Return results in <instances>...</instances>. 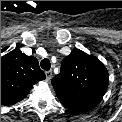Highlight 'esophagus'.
Wrapping results in <instances>:
<instances>
[{"instance_id": "esophagus-1", "label": "esophagus", "mask_w": 122, "mask_h": 122, "mask_svg": "<svg viewBox=\"0 0 122 122\" xmlns=\"http://www.w3.org/2000/svg\"><path fill=\"white\" fill-rule=\"evenodd\" d=\"M52 77V71H47L46 72V79L49 81Z\"/></svg>"}]
</instances>
